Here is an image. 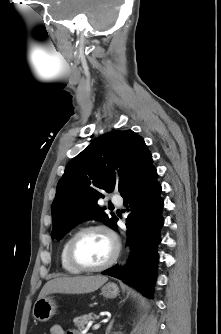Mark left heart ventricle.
Returning a JSON list of instances; mask_svg holds the SVG:
<instances>
[{
    "label": "left heart ventricle",
    "instance_id": "left-heart-ventricle-1",
    "mask_svg": "<svg viewBox=\"0 0 221 334\" xmlns=\"http://www.w3.org/2000/svg\"><path fill=\"white\" fill-rule=\"evenodd\" d=\"M113 252V242L109 235L101 230L84 233L75 244L76 259L86 266H98L105 263Z\"/></svg>",
    "mask_w": 221,
    "mask_h": 334
}]
</instances>
